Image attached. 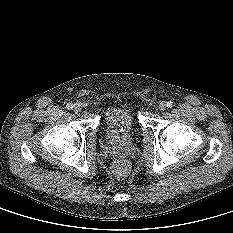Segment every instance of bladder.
I'll use <instances>...</instances> for the list:
<instances>
[{
	"instance_id": "31cf9c89",
	"label": "bladder",
	"mask_w": 233,
	"mask_h": 233,
	"mask_svg": "<svg viewBox=\"0 0 233 233\" xmlns=\"http://www.w3.org/2000/svg\"><path fill=\"white\" fill-rule=\"evenodd\" d=\"M138 128L137 114L129 103H119L110 107L102 119L105 137L117 144L132 140Z\"/></svg>"
}]
</instances>
